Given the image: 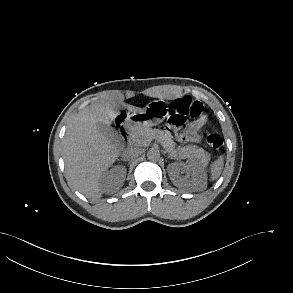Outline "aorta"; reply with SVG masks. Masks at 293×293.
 I'll list each match as a JSON object with an SVG mask.
<instances>
[{
	"label": "aorta",
	"instance_id": "aorta-1",
	"mask_svg": "<svg viewBox=\"0 0 293 293\" xmlns=\"http://www.w3.org/2000/svg\"><path fill=\"white\" fill-rule=\"evenodd\" d=\"M147 158L150 161H157V160H159V158H160V152H159V150H156V149L149 150L148 153H147Z\"/></svg>",
	"mask_w": 293,
	"mask_h": 293
}]
</instances>
